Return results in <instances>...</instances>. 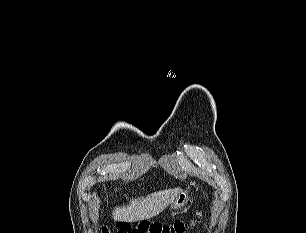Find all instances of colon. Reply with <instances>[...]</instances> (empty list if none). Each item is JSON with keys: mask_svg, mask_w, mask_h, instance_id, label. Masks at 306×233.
Masks as SVG:
<instances>
[{"mask_svg": "<svg viewBox=\"0 0 306 233\" xmlns=\"http://www.w3.org/2000/svg\"><path fill=\"white\" fill-rule=\"evenodd\" d=\"M200 214L197 215V219ZM197 219L190 221H177L172 224H139L137 226H131L126 223H119L115 227V233H187L192 229ZM102 233H112L111 229L107 226L102 227Z\"/></svg>", "mask_w": 306, "mask_h": 233, "instance_id": "1", "label": "colon"}]
</instances>
